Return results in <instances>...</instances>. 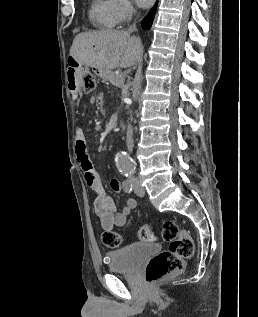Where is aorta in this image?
Returning <instances> with one entry per match:
<instances>
[{
    "instance_id": "1",
    "label": "aorta",
    "mask_w": 258,
    "mask_h": 317,
    "mask_svg": "<svg viewBox=\"0 0 258 317\" xmlns=\"http://www.w3.org/2000/svg\"><path fill=\"white\" fill-rule=\"evenodd\" d=\"M116 165L122 174H131L135 169V162L126 154L116 157Z\"/></svg>"
}]
</instances>
